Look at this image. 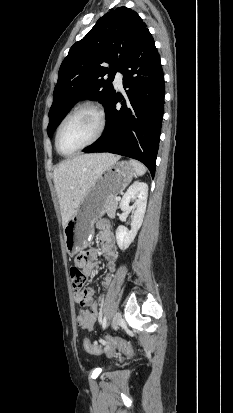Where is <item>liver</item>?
Masks as SVG:
<instances>
[{
    "label": "liver",
    "mask_w": 233,
    "mask_h": 413,
    "mask_svg": "<svg viewBox=\"0 0 233 413\" xmlns=\"http://www.w3.org/2000/svg\"><path fill=\"white\" fill-rule=\"evenodd\" d=\"M119 159L112 154H85L57 164L53 172L65 227L98 176Z\"/></svg>",
    "instance_id": "6515ba94"
}]
</instances>
